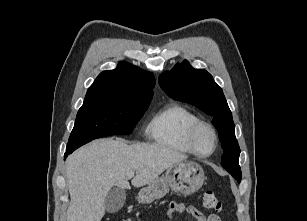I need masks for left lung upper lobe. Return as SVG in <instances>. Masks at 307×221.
Returning a JSON list of instances; mask_svg holds the SVG:
<instances>
[{
  "label": "left lung upper lobe",
  "mask_w": 307,
  "mask_h": 221,
  "mask_svg": "<svg viewBox=\"0 0 307 221\" xmlns=\"http://www.w3.org/2000/svg\"><path fill=\"white\" fill-rule=\"evenodd\" d=\"M160 87L174 99L188 102L213 116L223 148L222 166L240 183V148L235 137V125L222 89L204 69H194L184 60L160 75Z\"/></svg>",
  "instance_id": "1"
}]
</instances>
